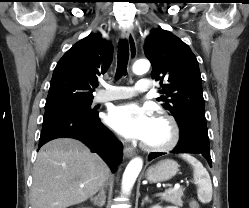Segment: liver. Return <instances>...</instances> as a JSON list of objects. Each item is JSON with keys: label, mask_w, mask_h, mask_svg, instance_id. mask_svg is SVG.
Here are the masks:
<instances>
[{"label": "liver", "mask_w": 249, "mask_h": 208, "mask_svg": "<svg viewBox=\"0 0 249 208\" xmlns=\"http://www.w3.org/2000/svg\"><path fill=\"white\" fill-rule=\"evenodd\" d=\"M109 176L106 163L80 141L72 138L49 141L39 150L34 165L32 208H67L82 203Z\"/></svg>", "instance_id": "1"}]
</instances>
